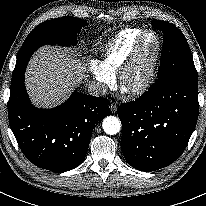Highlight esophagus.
<instances>
[{"label":"esophagus","mask_w":206,"mask_h":206,"mask_svg":"<svg viewBox=\"0 0 206 206\" xmlns=\"http://www.w3.org/2000/svg\"><path fill=\"white\" fill-rule=\"evenodd\" d=\"M110 111H111L112 113H116V112H117V106H116L115 104H111V105H110Z\"/></svg>","instance_id":"1"}]
</instances>
